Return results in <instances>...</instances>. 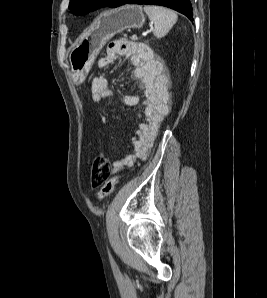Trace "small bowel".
Wrapping results in <instances>:
<instances>
[{
    "label": "small bowel",
    "mask_w": 267,
    "mask_h": 298,
    "mask_svg": "<svg viewBox=\"0 0 267 298\" xmlns=\"http://www.w3.org/2000/svg\"><path fill=\"white\" fill-rule=\"evenodd\" d=\"M118 57L129 60L132 75L137 80L143 97L127 96L125 103L129 106L142 103L144 111L139 114L140 123L132 138L131 151L113 162L114 172L122 167H131L137 158L147 157L164 118L170 112L171 104L169 71L148 46L131 41H114L109 44L98 65L104 69ZM90 90L93 102L99 104L108 102L113 95L110 79L105 75L93 77ZM102 120L107 124L110 117L104 115Z\"/></svg>",
    "instance_id": "obj_1"
}]
</instances>
